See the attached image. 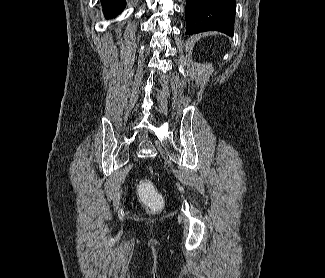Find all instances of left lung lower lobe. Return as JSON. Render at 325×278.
I'll return each instance as SVG.
<instances>
[{
	"instance_id": "1",
	"label": "left lung lower lobe",
	"mask_w": 325,
	"mask_h": 278,
	"mask_svg": "<svg viewBox=\"0 0 325 278\" xmlns=\"http://www.w3.org/2000/svg\"><path fill=\"white\" fill-rule=\"evenodd\" d=\"M235 0H187L186 34L220 31L234 34Z\"/></svg>"
}]
</instances>
